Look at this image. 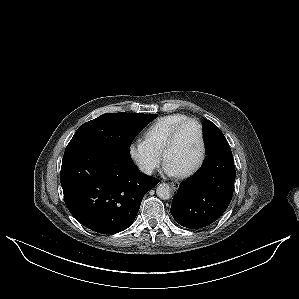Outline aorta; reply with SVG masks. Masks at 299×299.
Returning a JSON list of instances; mask_svg holds the SVG:
<instances>
[{"label":"aorta","instance_id":"aorta-1","mask_svg":"<svg viewBox=\"0 0 299 299\" xmlns=\"http://www.w3.org/2000/svg\"><path fill=\"white\" fill-rule=\"evenodd\" d=\"M156 194L160 199L167 200L172 197V189L167 183H161L157 186Z\"/></svg>","mask_w":299,"mask_h":299}]
</instances>
